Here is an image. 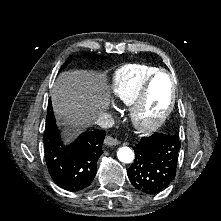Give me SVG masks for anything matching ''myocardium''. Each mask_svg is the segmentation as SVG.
Here are the masks:
<instances>
[{"mask_svg": "<svg viewBox=\"0 0 221 221\" xmlns=\"http://www.w3.org/2000/svg\"><path fill=\"white\" fill-rule=\"evenodd\" d=\"M166 74L171 82V94L167 108L165 111L154 120H143L141 118V112L147 103L149 92L151 87L155 81V79L161 75ZM176 100V88L173 75L166 69H158L153 73V75L149 78V80L144 84V86L140 89L136 99L132 103L131 107V120L134 127L142 132V133H150L159 129L170 116Z\"/></svg>", "mask_w": 221, "mask_h": 221, "instance_id": "1", "label": "myocardium"}]
</instances>
